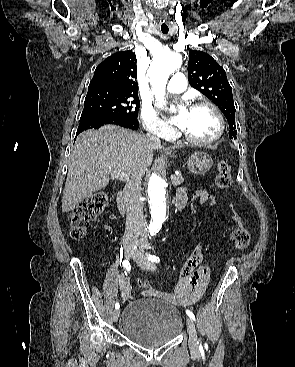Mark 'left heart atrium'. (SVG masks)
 Returning <instances> with one entry per match:
<instances>
[{
  "mask_svg": "<svg viewBox=\"0 0 295 367\" xmlns=\"http://www.w3.org/2000/svg\"><path fill=\"white\" fill-rule=\"evenodd\" d=\"M189 108L184 104L181 103L178 108L177 114L172 118V122L177 125L178 127L182 128L188 114Z\"/></svg>",
  "mask_w": 295,
  "mask_h": 367,
  "instance_id": "39dd6f15",
  "label": "left heart atrium"
}]
</instances>
